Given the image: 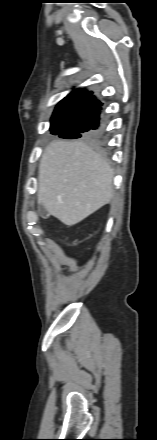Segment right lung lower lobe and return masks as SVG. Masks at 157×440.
Here are the masks:
<instances>
[{
	"label": "right lung lower lobe",
	"instance_id": "98d812e1",
	"mask_svg": "<svg viewBox=\"0 0 157 440\" xmlns=\"http://www.w3.org/2000/svg\"><path fill=\"white\" fill-rule=\"evenodd\" d=\"M98 121H99V118H97V119L95 120L94 125L91 127L92 129H96V128H97V126H98Z\"/></svg>",
	"mask_w": 157,
	"mask_h": 440
}]
</instances>
